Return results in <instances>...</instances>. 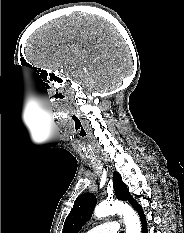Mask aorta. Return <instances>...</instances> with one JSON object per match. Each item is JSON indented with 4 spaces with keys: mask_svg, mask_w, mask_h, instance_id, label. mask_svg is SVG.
<instances>
[{
    "mask_svg": "<svg viewBox=\"0 0 184 233\" xmlns=\"http://www.w3.org/2000/svg\"><path fill=\"white\" fill-rule=\"evenodd\" d=\"M118 213L123 216L126 226V233H141L140 220L131 206L122 201H104L101 202L94 211L97 218H104Z\"/></svg>",
    "mask_w": 184,
    "mask_h": 233,
    "instance_id": "762f6f07",
    "label": "aorta"
}]
</instances>
